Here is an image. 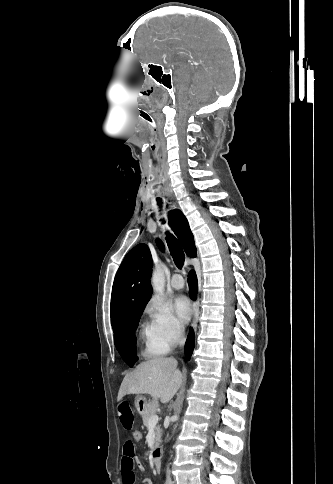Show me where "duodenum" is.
<instances>
[{
	"instance_id": "obj_1",
	"label": "duodenum",
	"mask_w": 333,
	"mask_h": 484,
	"mask_svg": "<svg viewBox=\"0 0 333 484\" xmlns=\"http://www.w3.org/2000/svg\"><path fill=\"white\" fill-rule=\"evenodd\" d=\"M152 460H153V465H154L155 469L157 471H159L160 468H161V451H160V449H155L153 451Z\"/></svg>"
}]
</instances>
